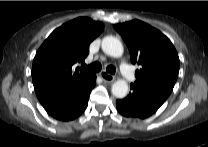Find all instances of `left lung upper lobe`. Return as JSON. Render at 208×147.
<instances>
[{
    "label": "left lung upper lobe",
    "instance_id": "1",
    "mask_svg": "<svg viewBox=\"0 0 208 147\" xmlns=\"http://www.w3.org/2000/svg\"><path fill=\"white\" fill-rule=\"evenodd\" d=\"M128 46L136 70L135 86L144 87L168 97L178 77L180 61L171 41L150 25L133 20L114 26Z\"/></svg>",
    "mask_w": 208,
    "mask_h": 147
}]
</instances>
